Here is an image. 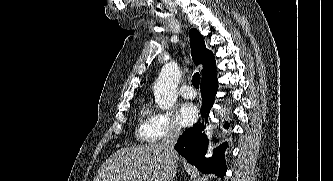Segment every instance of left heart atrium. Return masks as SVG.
Masks as SVG:
<instances>
[{
	"instance_id": "39dd6f15",
	"label": "left heart atrium",
	"mask_w": 333,
	"mask_h": 181,
	"mask_svg": "<svg viewBox=\"0 0 333 181\" xmlns=\"http://www.w3.org/2000/svg\"><path fill=\"white\" fill-rule=\"evenodd\" d=\"M198 112L194 104L186 102L181 104L177 111V120L183 126H189L197 119Z\"/></svg>"
}]
</instances>
